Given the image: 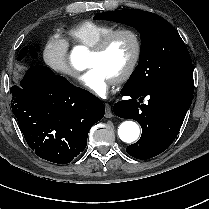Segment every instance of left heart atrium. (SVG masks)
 <instances>
[{
	"label": "left heart atrium",
	"instance_id": "39dd6f15",
	"mask_svg": "<svg viewBox=\"0 0 209 209\" xmlns=\"http://www.w3.org/2000/svg\"><path fill=\"white\" fill-rule=\"evenodd\" d=\"M80 82L95 95L105 97L116 79L109 77L98 67H91L81 74Z\"/></svg>",
	"mask_w": 209,
	"mask_h": 209
}]
</instances>
